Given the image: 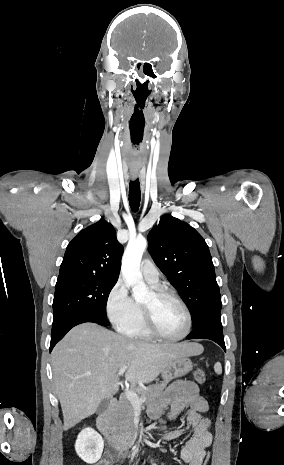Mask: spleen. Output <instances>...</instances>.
Returning <instances> with one entry per match:
<instances>
[{"instance_id": "spleen-1", "label": "spleen", "mask_w": 284, "mask_h": 465, "mask_svg": "<svg viewBox=\"0 0 284 465\" xmlns=\"http://www.w3.org/2000/svg\"><path fill=\"white\" fill-rule=\"evenodd\" d=\"M214 371H215V373H217V375H221V373H222V365H221V363H215Z\"/></svg>"}]
</instances>
